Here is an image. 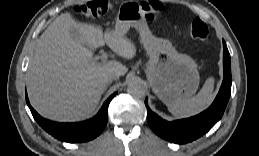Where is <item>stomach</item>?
<instances>
[{
	"instance_id": "0dacf381",
	"label": "stomach",
	"mask_w": 259,
	"mask_h": 156,
	"mask_svg": "<svg viewBox=\"0 0 259 156\" xmlns=\"http://www.w3.org/2000/svg\"><path fill=\"white\" fill-rule=\"evenodd\" d=\"M131 26L139 29L141 41L150 57L146 73L156 96L167 106L190 99L200 81L195 61L186 54L178 53L170 41L153 36L139 7L127 2L118 13L115 30L126 33Z\"/></svg>"
}]
</instances>
